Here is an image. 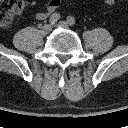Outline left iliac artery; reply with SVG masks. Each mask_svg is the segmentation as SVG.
Returning <instances> with one entry per match:
<instances>
[{"instance_id":"44dca946","label":"left iliac artery","mask_w":128,"mask_h":128,"mask_svg":"<svg viewBox=\"0 0 128 128\" xmlns=\"http://www.w3.org/2000/svg\"><path fill=\"white\" fill-rule=\"evenodd\" d=\"M67 23L71 26L75 24V19L72 16L67 17Z\"/></svg>"}]
</instances>
